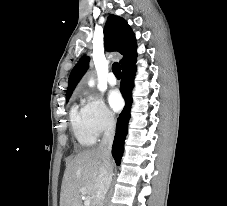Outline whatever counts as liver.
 Here are the masks:
<instances>
[{"instance_id": "obj_1", "label": "liver", "mask_w": 227, "mask_h": 206, "mask_svg": "<svg viewBox=\"0 0 227 206\" xmlns=\"http://www.w3.org/2000/svg\"><path fill=\"white\" fill-rule=\"evenodd\" d=\"M110 163L112 167L111 160ZM102 166L103 157L97 149L85 150L69 161L62 181L60 206H83L82 195H88L93 204L95 185ZM82 188L86 189V193L81 192Z\"/></svg>"}]
</instances>
